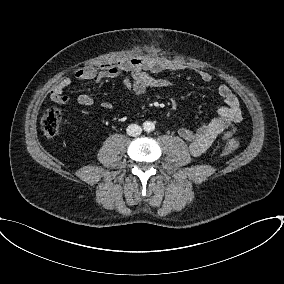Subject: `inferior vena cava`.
Returning a JSON list of instances; mask_svg holds the SVG:
<instances>
[{
  "label": "inferior vena cava",
  "instance_id": "602c4592",
  "mask_svg": "<svg viewBox=\"0 0 284 284\" xmlns=\"http://www.w3.org/2000/svg\"><path fill=\"white\" fill-rule=\"evenodd\" d=\"M126 131L129 136H138L141 134L142 128L137 124H130Z\"/></svg>",
  "mask_w": 284,
  "mask_h": 284
}]
</instances>
